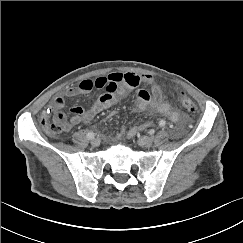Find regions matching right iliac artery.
Instances as JSON below:
<instances>
[{
	"instance_id": "82829eb1",
	"label": "right iliac artery",
	"mask_w": 243,
	"mask_h": 243,
	"mask_svg": "<svg viewBox=\"0 0 243 243\" xmlns=\"http://www.w3.org/2000/svg\"><path fill=\"white\" fill-rule=\"evenodd\" d=\"M87 138L88 139H93L94 138V133L93 132H88L87 133Z\"/></svg>"
}]
</instances>
